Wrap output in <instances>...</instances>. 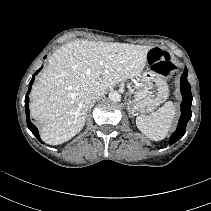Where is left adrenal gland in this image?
<instances>
[{
	"instance_id": "1",
	"label": "left adrenal gland",
	"mask_w": 211,
	"mask_h": 211,
	"mask_svg": "<svg viewBox=\"0 0 211 211\" xmlns=\"http://www.w3.org/2000/svg\"><path fill=\"white\" fill-rule=\"evenodd\" d=\"M131 100L129 99V102H128V112H129V115H132V117H133V113H132V111H131Z\"/></svg>"
}]
</instances>
